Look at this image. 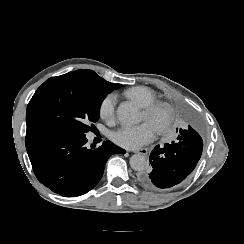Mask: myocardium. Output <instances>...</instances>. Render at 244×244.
<instances>
[{"mask_svg": "<svg viewBox=\"0 0 244 244\" xmlns=\"http://www.w3.org/2000/svg\"><path fill=\"white\" fill-rule=\"evenodd\" d=\"M165 112L168 116V119H162L155 128L159 133H165L172 126L173 116L169 109L163 107L161 104H152L147 107H144V113L146 115Z\"/></svg>", "mask_w": 244, "mask_h": 244, "instance_id": "obj_1", "label": "myocardium"}]
</instances>
